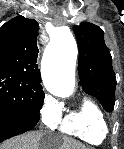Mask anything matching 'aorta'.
<instances>
[{"label":"aorta","mask_w":124,"mask_h":149,"mask_svg":"<svg viewBox=\"0 0 124 149\" xmlns=\"http://www.w3.org/2000/svg\"><path fill=\"white\" fill-rule=\"evenodd\" d=\"M56 62L48 59L49 50L42 63V80L48 92L58 97H68L74 90V71L77 58V45L67 27L57 29V38L52 45Z\"/></svg>","instance_id":"obj_1"}]
</instances>
